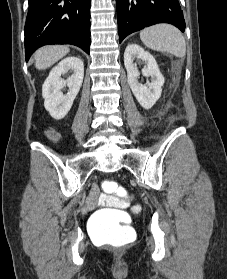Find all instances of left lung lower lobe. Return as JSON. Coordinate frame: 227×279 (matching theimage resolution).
<instances>
[{
	"label": "left lung lower lobe",
	"mask_w": 227,
	"mask_h": 279,
	"mask_svg": "<svg viewBox=\"0 0 227 279\" xmlns=\"http://www.w3.org/2000/svg\"><path fill=\"white\" fill-rule=\"evenodd\" d=\"M119 42L129 34L156 23H170L185 30L178 0H116Z\"/></svg>",
	"instance_id": "obj_1"
}]
</instances>
